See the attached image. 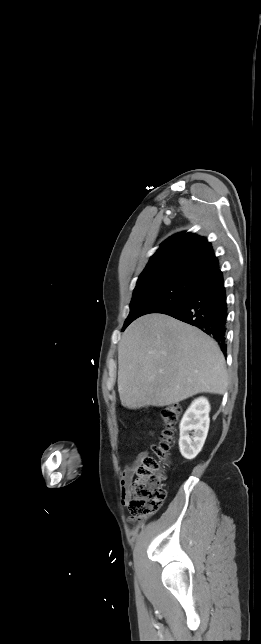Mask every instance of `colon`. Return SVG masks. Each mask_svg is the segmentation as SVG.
I'll use <instances>...</instances> for the list:
<instances>
[{
    "label": "colon",
    "mask_w": 261,
    "mask_h": 644,
    "mask_svg": "<svg viewBox=\"0 0 261 644\" xmlns=\"http://www.w3.org/2000/svg\"><path fill=\"white\" fill-rule=\"evenodd\" d=\"M181 406L172 404L162 411L164 429L153 455L146 456L138 466L137 477L130 485V511L137 521H144L155 514L165 499V468L169 463V452L175 427L181 415Z\"/></svg>",
    "instance_id": "obj_1"
}]
</instances>
